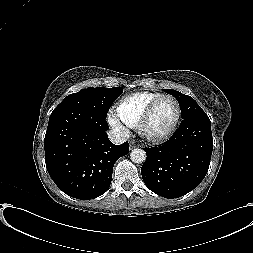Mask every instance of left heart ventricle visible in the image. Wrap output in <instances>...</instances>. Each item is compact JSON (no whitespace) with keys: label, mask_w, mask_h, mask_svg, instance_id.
Instances as JSON below:
<instances>
[{"label":"left heart ventricle","mask_w":253,"mask_h":253,"mask_svg":"<svg viewBox=\"0 0 253 253\" xmlns=\"http://www.w3.org/2000/svg\"><path fill=\"white\" fill-rule=\"evenodd\" d=\"M176 117V106L171 99L162 100L156 107L147 126L148 133L158 135L166 132Z\"/></svg>","instance_id":"b2bd125f"}]
</instances>
